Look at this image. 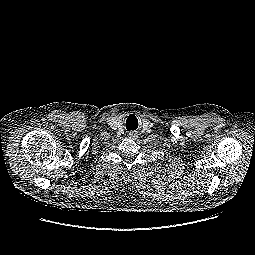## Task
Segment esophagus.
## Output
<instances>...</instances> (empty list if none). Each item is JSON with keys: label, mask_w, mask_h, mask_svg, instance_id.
<instances>
[{"label": "esophagus", "mask_w": 255, "mask_h": 255, "mask_svg": "<svg viewBox=\"0 0 255 255\" xmlns=\"http://www.w3.org/2000/svg\"><path fill=\"white\" fill-rule=\"evenodd\" d=\"M137 137H138L137 133H135V132L129 133V138L136 139Z\"/></svg>", "instance_id": "obj_1"}]
</instances>
